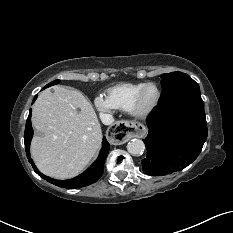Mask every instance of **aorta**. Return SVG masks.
Here are the masks:
<instances>
[{
    "instance_id": "obj_1",
    "label": "aorta",
    "mask_w": 233,
    "mask_h": 233,
    "mask_svg": "<svg viewBox=\"0 0 233 233\" xmlns=\"http://www.w3.org/2000/svg\"><path fill=\"white\" fill-rule=\"evenodd\" d=\"M145 144L140 139H132L127 144V150L132 155H140L144 152Z\"/></svg>"
}]
</instances>
